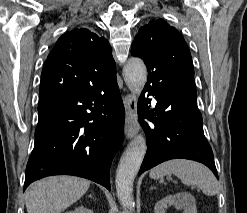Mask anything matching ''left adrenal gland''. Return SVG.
Returning <instances> with one entry per match:
<instances>
[{
    "instance_id": "left-adrenal-gland-1",
    "label": "left adrenal gland",
    "mask_w": 247,
    "mask_h": 213,
    "mask_svg": "<svg viewBox=\"0 0 247 213\" xmlns=\"http://www.w3.org/2000/svg\"><path fill=\"white\" fill-rule=\"evenodd\" d=\"M155 188H156L155 186H151L150 190L155 189Z\"/></svg>"
}]
</instances>
